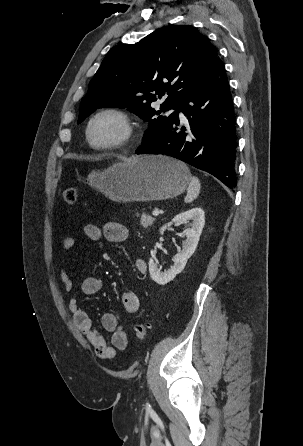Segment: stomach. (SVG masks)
<instances>
[{"label": "stomach", "mask_w": 303, "mask_h": 446, "mask_svg": "<svg viewBox=\"0 0 303 446\" xmlns=\"http://www.w3.org/2000/svg\"><path fill=\"white\" fill-rule=\"evenodd\" d=\"M187 166L162 155H145L116 163L104 171H92L89 184L115 202L174 198L190 183Z\"/></svg>", "instance_id": "obj_1"}]
</instances>
